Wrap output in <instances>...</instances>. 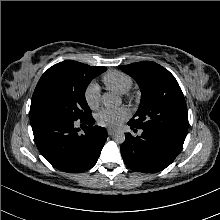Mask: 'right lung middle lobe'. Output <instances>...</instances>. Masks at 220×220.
I'll list each match as a JSON object with an SVG mask.
<instances>
[{
    "mask_svg": "<svg viewBox=\"0 0 220 220\" xmlns=\"http://www.w3.org/2000/svg\"><path fill=\"white\" fill-rule=\"evenodd\" d=\"M105 67L77 61H63L50 67L40 78L31 100L30 111H47L68 120L91 116L85 90Z\"/></svg>",
    "mask_w": 220,
    "mask_h": 220,
    "instance_id": "obj_1",
    "label": "right lung middle lobe"
}]
</instances>
